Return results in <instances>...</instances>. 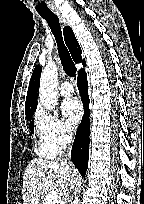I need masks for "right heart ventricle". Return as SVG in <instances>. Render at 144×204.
Returning <instances> with one entry per match:
<instances>
[{"label":"right heart ventricle","instance_id":"obj_1","mask_svg":"<svg viewBox=\"0 0 144 204\" xmlns=\"http://www.w3.org/2000/svg\"><path fill=\"white\" fill-rule=\"evenodd\" d=\"M37 132L39 135V140L37 142L36 145V153L42 157V158H53L55 157L58 153L52 149L51 147H49L41 138L40 133H39V129L37 127Z\"/></svg>","mask_w":144,"mask_h":204}]
</instances>
